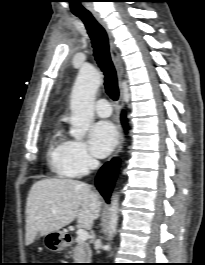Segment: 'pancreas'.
I'll return each instance as SVG.
<instances>
[{"mask_svg":"<svg viewBox=\"0 0 205 265\" xmlns=\"http://www.w3.org/2000/svg\"><path fill=\"white\" fill-rule=\"evenodd\" d=\"M76 247L72 249L73 259L75 263H87L91 257V250L89 245L76 239Z\"/></svg>","mask_w":205,"mask_h":265,"instance_id":"cf45deb5","label":"pancreas"}]
</instances>
